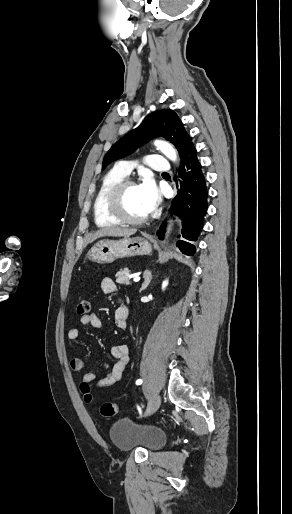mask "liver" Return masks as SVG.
<instances>
[{"label":"liver","instance_id":"obj_1","mask_svg":"<svg viewBox=\"0 0 292 514\" xmlns=\"http://www.w3.org/2000/svg\"><path fill=\"white\" fill-rule=\"evenodd\" d=\"M137 230H127V228H118V226H109V228H101L95 234H90L91 242L97 240V238H103V236H114V238H121V236H133Z\"/></svg>","mask_w":292,"mask_h":514}]
</instances>
